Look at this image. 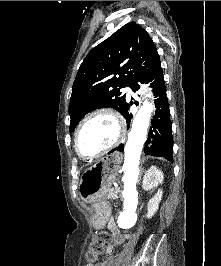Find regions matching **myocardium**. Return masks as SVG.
<instances>
[{"label": "myocardium", "mask_w": 221, "mask_h": 266, "mask_svg": "<svg viewBox=\"0 0 221 266\" xmlns=\"http://www.w3.org/2000/svg\"><path fill=\"white\" fill-rule=\"evenodd\" d=\"M102 114H106L111 116L118 127V133L117 136L115 138V140L108 145L107 147L103 148L102 150H100L99 152L92 154V155H87L85 154L81 148H80V136L81 133L83 131V128L85 127V125L87 124L88 121H90L93 117L97 116V115H102ZM126 134V124L124 119L122 118V116L114 111L113 109H109V108H102V109H98L93 111L92 113H90L81 123V125L79 126L76 135H75V140H74V145H75V150L77 152V154L82 157L83 159H95L100 157L101 155L105 154L106 152H108L109 150L113 149L114 147H116L125 137Z\"/></svg>", "instance_id": "obj_1"}]
</instances>
